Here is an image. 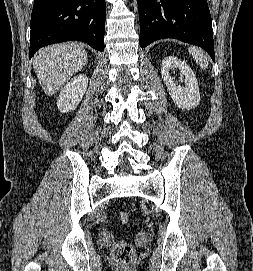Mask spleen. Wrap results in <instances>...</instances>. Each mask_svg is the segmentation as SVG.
Masks as SVG:
<instances>
[{
	"instance_id": "3e777b00",
	"label": "spleen",
	"mask_w": 253,
	"mask_h": 271,
	"mask_svg": "<svg viewBox=\"0 0 253 271\" xmlns=\"http://www.w3.org/2000/svg\"><path fill=\"white\" fill-rule=\"evenodd\" d=\"M189 53L203 69L207 68L208 58L201 49L191 47L189 48Z\"/></svg>"
}]
</instances>
